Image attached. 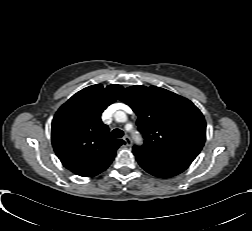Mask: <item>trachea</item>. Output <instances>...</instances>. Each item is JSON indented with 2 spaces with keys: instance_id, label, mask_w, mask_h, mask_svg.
Returning a JSON list of instances; mask_svg holds the SVG:
<instances>
[{
  "instance_id": "3493384b",
  "label": "trachea",
  "mask_w": 252,
  "mask_h": 231,
  "mask_svg": "<svg viewBox=\"0 0 252 231\" xmlns=\"http://www.w3.org/2000/svg\"><path fill=\"white\" fill-rule=\"evenodd\" d=\"M123 135H124V133H123V131L120 130V129H114V130L112 131V136H113L114 138H121Z\"/></svg>"
}]
</instances>
